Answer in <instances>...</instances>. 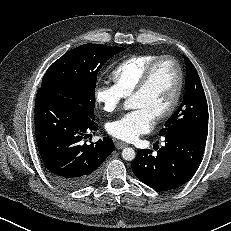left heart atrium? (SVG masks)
Listing matches in <instances>:
<instances>
[{
    "mask_svg": "<svg viewBox=\"0 0 231 231\" xmlns=\"http://www.w3.org/2000/svg\"><path fill=\"white\" fill-rule=\"evenodd\" d=\"M155 116L146 108L138 107L121 118L111 121L107 131L113 137L131 142L152 129Z\"/></svg>",
    "mask_w": 231,
    "mask_h": 231,
    "instance_id": "39dd6f15",
    "label": "left heart atrium"
}]
</instances>
